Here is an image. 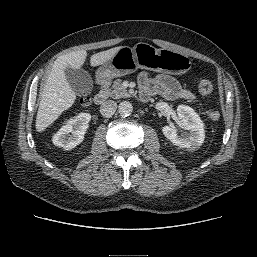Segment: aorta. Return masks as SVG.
Instances as JSON below:
<instances>
[{"mask_svg":"<svg viewBox=\"0 0 257 257\" xmlns=\"http://www.w3.org/2000/svg\"><path fill=\"white\" fill-rule=\"evenodd\" d=\"M118 111L122 116H129L133 111V106L129 101H122L118 106Z\"/></svg>","mask_w":257,"mask_h":257,"instance_id":"obj_1","label":"aorta"}]
</instances>
